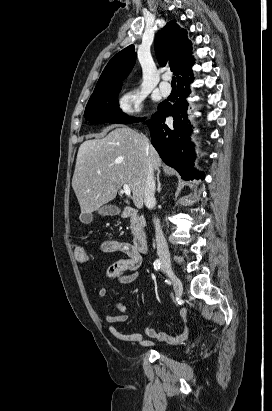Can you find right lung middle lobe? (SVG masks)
<instances>
[{
  "label": "right lung middle lobe",
  "instance_id": "right-lung-middle-lobe-1",
  "mask_svg": "<svg viewBox=\"0 0 272 411\" xmlns=\"http://www.w3.org/2000/svg\"><path fill=\"white\" fill-rule=\"evenodd\" d=\"M120 90L121 83L95 89L84 112L86 120L91 123L120 124H129L144 120L129 117L119 109L117 96Z\"/></svg>",
  "mask_w": 272,
  "mask_h": 411
}]
</instances>
